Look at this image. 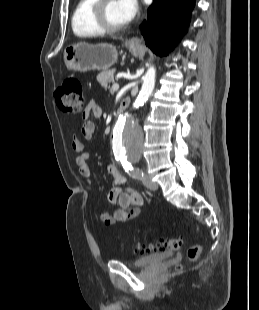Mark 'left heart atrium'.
I'll list each match as a JSON object with an SVG mask.
<instances>
[{"label":"left heart atrium","instance_id":"39dd6f15","mask_svg":"<svg viewBox=\"0 0 259 310\" xmlns=\"http://www.w3.org/2000/svg\"><path fill=\"white\" fill-rule=\"evenodd\" d=\"M124 23L130 22L138 10L137 0H117Z\"/></svg>","mask_w":259,"mask_h":310}]
</instances>
